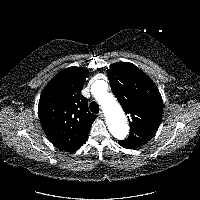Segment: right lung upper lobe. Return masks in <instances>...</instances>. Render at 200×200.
Returning a JSON list of instances; mask_svg holds the SVG:
<instances>
[{
	"label": "right lung upper lobe",
	"mask_w": 200,
	"mask_h": 200,
	"mask_svg": "<svg viewBox=\"0 0 200 200\" xmlns=\"http://www.w3.org/2000/svg\"><path fill=\"white\" fill-rule=\"evenodd\" d=\"M88 70L69 67L59 72L44 88L38 105L42 128L57 148L79 149L88 137L95 115L81 94Z\"/></svg>",
	"instance_id": "1"
}]
</instances>
